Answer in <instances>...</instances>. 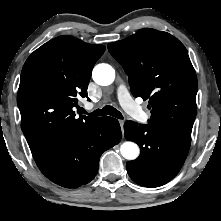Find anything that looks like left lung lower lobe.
<instances>
[{
    "instance_id": "1",
    "label": "left lung lower lobe",
    "mask_w": 221,
    "mask_h": 221,
    "mask_svg": "<svg viewBox=\"0 0 221 221\" xmlns=\"http://www.w3.org/2000/svg\"><path fill=\"white\" fill-rule=\"evenodd\" d=\"M124 135L137 143L140 156L126 164L127 172L137 184L158 187L173 179L180 171L191 140L163 132L150 124L126 121Z\"/></svg>"
}]
</instances>
